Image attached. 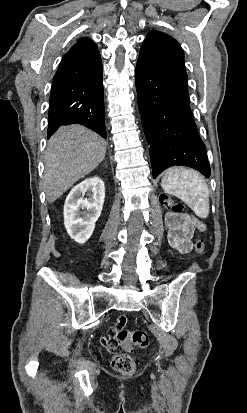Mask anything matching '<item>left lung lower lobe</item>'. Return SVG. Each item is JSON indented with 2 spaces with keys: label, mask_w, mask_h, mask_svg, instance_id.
Returning <instances> with one entry per match:
<instances>
[{
  "label": "left lung lower lobe",
  "mask_w": 247,
  "mask_h": 413,
  "mask_svg": "<svg viewBox=\"0 0 247 413\" xmlns=\"http://www.w3.org/2000/svg\"><path fill=\"white\" fill-rule=\"evenodd\" d=\"M135 84L153 178L173 165L194 168L208 178L210 166L190 109L185 67L141 48Z\"/></svg>",
  "instance_id": "1"
}]
</instances>
